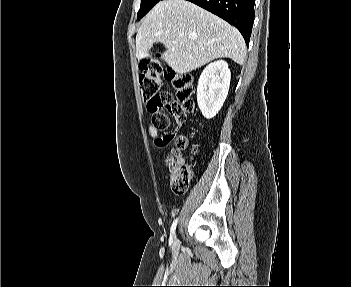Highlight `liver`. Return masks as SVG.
Here are the masks:
<instances>
[{"label": "liver", "instance_id": "6515ba94", "mask_svg": "<svg viewBox=\"0 0 351 287\" xmlns=\"http://www.w3.org/2000/svg\"><path fill=\"white\" fill-rule=\"evenodd\" d=\"M154 43L166 51L161 58L185 74L217 58L242 65L246 44L229 23L186 0H163L144 18L136 35V57L146 59Z\"/></svg>", "mask_w": 351, "mask_h": 287}]
</instances>
